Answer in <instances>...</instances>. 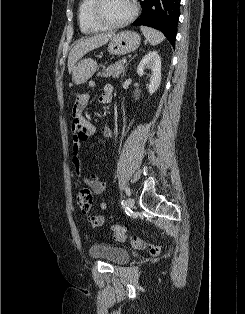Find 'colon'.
Returning <instances> with one entry per match:
<instances>
[{
    "label": "colon",
    "mask_w": 245,
    "mask_h": 314,
    "mask_svg": "<svg viewBox=\"0 0 245 314\" xmlns=\"http://www.w3.org/2000/svg\"><path fill=\"white\" fill-rule=\"evenodd\" d=\"M77 204L84 214L90 212L92 205V192L89 188L79 189L77 193ZM111 231L113 232L114 239L117 241H126L128 239L126 228L121 225H112ZM130 243L136 249L148 250L153 256H157L160 254V247L158 245L145 243L141 238L137 236L132 237L130 239Z\"/></svg>",
    "instance_id": "1"
}]
</instances>
